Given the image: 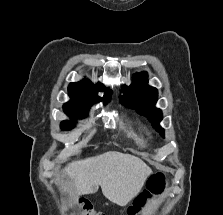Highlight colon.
I'll return each mask as SVG.
<instances>
[{
    "label": "colon",
    "instance_id": "1",
    "mask_svg": "<svg viewBox=\"0 0 223 215\" xmlns=\"http://www.w3.org/2000/svg\"><path fill=\"white\" fill-rule=\"evenodd\" d=\"M165 184L166 180L163 173L152 175L148 181L147 189L136 198L133 206L129 208V214H136L152 194L160 193L163 190ZM80 207V215H104L102 212L95 211L88 203H82Z\"/></svg>",
    "mask_w": 223,
    "mask_h": 215
}]
</instances>
